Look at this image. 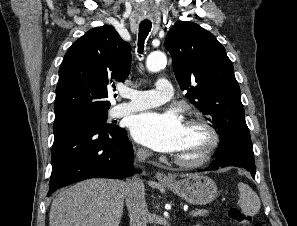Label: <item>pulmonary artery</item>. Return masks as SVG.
<instances>
[{
	"label": "pulmonary artery",
	"instance_id": "pulmonary-artery-1",
	"mask_svg": "<svg viewBox=\"0 0 297 226\" xmlns=\"http://www.w3.org/2000/svg\"><path fill=\"white\" fill-rule=\"evenodd\" d=\"M121 95L130 101L116 105L112 109V116L114 117H121L166 103L173 96V87L167 79L161 78L156 82L154 89L146 91L129 90L121 93Z\"/></svg>",
	"mask_w": 297,
	"mask_h": 226
}]
</instances>
